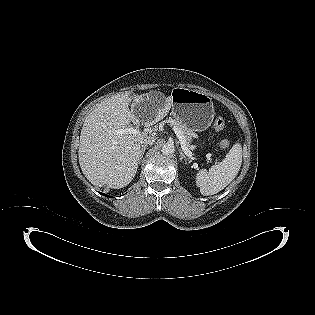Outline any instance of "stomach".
I'll use <instances>...</instances> for the list:
<instances>
[{
  "label": "stomach",
  "instance_id": "obj_1",
  "mask_svg": "<svg viewBox=\"0 0 315 315\" xmlns=\"http://www.w3.org/2000/svg\"><path fill=\"white\" fill-rule=\"evenodd\" d=\"M172 115L192 131L206 130L214 119L211 97L199 90L176 87L171 92ZM137 107V106H136ZM204 147V142L198 144Z\"/></svg>",
  "mask_w": 315,
  "mask_h": 315
}]
</instances>
